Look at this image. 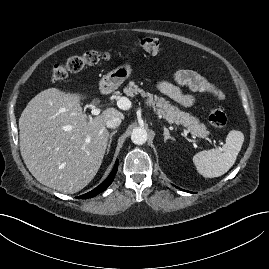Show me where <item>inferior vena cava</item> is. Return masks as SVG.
<instances>
[{"label":"inferior vena cava","mask_w":269,"mask_h":269,"mask_svg":"<svg viewBox=\"0 0 269 269\" xmlns=\"http://www.w3.org/2000/svg\"><path fill=\"white\" fill-rule=\"evenodd\" d=\"M121 124V118L119 116H113L106 122V126L111 129L117 128Z\"/></svg>","instance_id":"inferior-vena-cava-1"}]
</instances>
